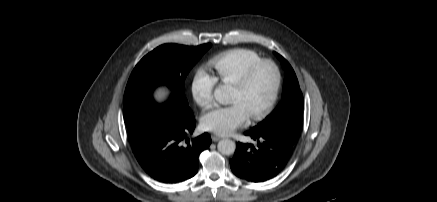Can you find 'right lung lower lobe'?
Segmentation results:
<instances>
[{
	"label": "right lung lower lobe",
	"mask_w": 437,
	"mask_h": 202,
	"mask_svg": "<svg viewBox=\"0 0 437 202\" xmlns=\"http://www.w3.org/2000/svg\"><path fill=\"white\" fill-rule=\"evenodd\" d=\"M194 128V115L159 116L152 120L148 134L132 143L133 153L145 172L159 182L190 179L198 171L200 153L211 144L208 133L189 140Z\"/></svg>",
	"instance_id": "98d812e1"
}]
</instances>
